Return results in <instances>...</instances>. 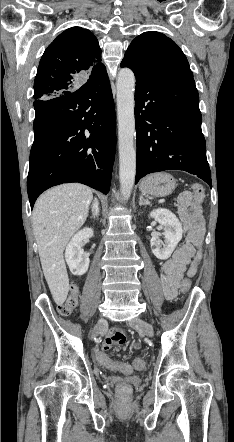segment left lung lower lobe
Here are the masks:
<instances>
[{
	"mask_svg": "<svg viewBox=\"0 0 234 442\" xmlns=\"http://www.w3.org/2000/svg\"><path fill=\"white\" fill-rule=\"evenodd\" d=\"M201 121L193 78L136 75L135 184L149 173L177 169L197 175L211 187Z\"/></svg>",
	"mask_w": 234,
	"mask_h": 442,
	"instance_id": "1",
	"label": "left lung lower lobe"
}]
</instances>
